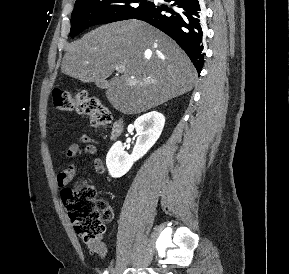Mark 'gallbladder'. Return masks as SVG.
Returning a JSON list of instances; mask_svg holds the SVG:
<instances>
[{
	"mask_svg": "<svg viewBox=\"0 0 289 274\" xmlns=\"http://www.w3.org/2000/svg\"><path fill=\"white\" fill-rule=\"evenodd\" d=\"M97 85V87L101 88V89H106L107 87V82L106 81H101L98 83H95Z\"/></svg>",
	"mask_w": 289,
	"mask_h": 274,
	"instance_id": "obj_1",
	"label": "gallbladder"
}]
</instances>
